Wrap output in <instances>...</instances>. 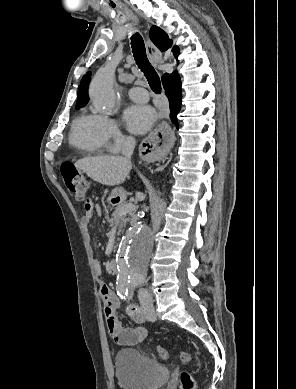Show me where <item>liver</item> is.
Segmentation results:
<instances>
[{"instance_id": "liver-1", "label": "liver", "mask_w": 296, "mask_h": 389, "mask_svg": "<svg viewBox=\"0 0 296 389\" xmlns=\"http://www.w3.org/2000/svg\"><path fill=\"white\" fill-rule=\"evenodd\" d=\"M74 166L84 171L94 181L107 186L124 183L132 168L131 161L126 157L106 155L82 158ZM144 197L142 193L136 192L138 200Z\"/></svg>"}]
</instances>
